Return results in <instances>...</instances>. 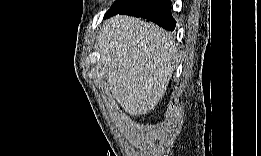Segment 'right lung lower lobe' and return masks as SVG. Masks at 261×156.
Returning <instances> with one entry per match:
<instances>
[{"label":"right lung lower lobe","instance_id":"98d812e1","mask_svg":"<svg viewBox=\"0 0 261 156\" xmlns=\"http://www.w3.org/2000/svg\"><path fill=\"white\" fill-rule=\"evenodd\" d=\"M118 13L147 19L166 30L175 29L170 0H133Z\"/></svg>","mask_w":261,"mask_h":156}]
</instances>
